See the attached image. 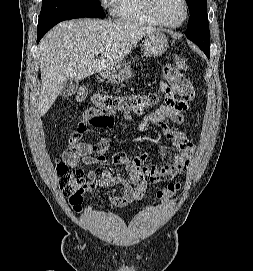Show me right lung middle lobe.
<instances>
[{
  "instance_id": "1",
  "label": "right lung middle lobe",
  "mask_w": 253,
  "mask_h": 271,
  "mask_svg": "<svg viewBox=\"0 0 253 271\" xmlns=\"http://www.w3.org/2000/svg\"><path fill=\"white\" fill-rule=\"evenodd\" d=\"M81 17L104 18L99 0H43L38 32H47L61 21Z\"/></svg>"
}]
</instances>
